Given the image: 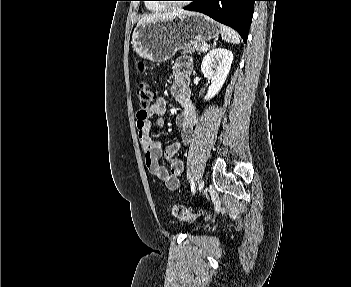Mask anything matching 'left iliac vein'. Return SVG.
Listing matches in <instances>:
<instances>
[{
  "label": "left iliac vein",
  "instance_id": "1",
  "mask_svg": "<svg viewBox=\"0 0 351 287\" xmlns=\"http://www.w3.org/2000/svg\"><path fill=\"white\" fill-rule=\"evenodd\" d=\"M204 188V181H201L199 184V190L202 191Z\"/></svg>",
  "mask_w": 351,
  "mask_h": 287
}]
</instances>
